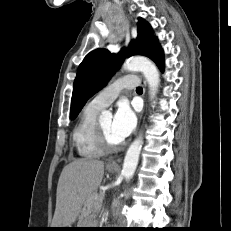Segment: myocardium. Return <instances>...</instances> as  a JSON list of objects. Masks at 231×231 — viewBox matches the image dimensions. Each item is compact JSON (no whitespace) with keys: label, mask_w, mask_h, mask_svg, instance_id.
I'll return each mask as SVG.
<instances>
[{"label":"myocardium","mask_w":231,"mask_h":231,"mask_svg":"<svg viewBox=\"0 0 231 231\" xmlns=\"http://www.w3.org/2000/svg\"><path fill=\"white\" fill-rule=\"evenodd\" d=\"M96 141H97V144L100 147V149L103 152H107V153L115 152V151L119 150L121 147L120 143L111 144L107 140V138H106V136H105V134L101 128L100 123L96 124Z\"/></svg>","instance_id":"f54148a6"}]
</instances>
